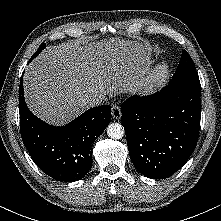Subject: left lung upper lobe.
Listing matches in <instances>:
<instances>
[{"label":"left lung upper lobe","mask_w":221,"mask_h":221,"mask_svg":"<svg viewBox=\"0 0 221 221\" xmlns=\"http://www.w3.org/2000/svg\"><path fill=\"white\" fill-rule=\"evenodd\" d=\"M169 84H200L194 62L186 50H183L180 63Z\"/></svg>","instance_id":"5c2ea615"}]
</instances>
